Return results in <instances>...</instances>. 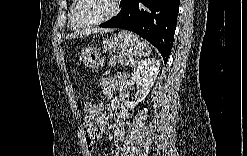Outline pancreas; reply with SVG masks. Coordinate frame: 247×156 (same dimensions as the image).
<instances>
[{"label": "pancreas", "instance_id": "obj_1", "mask_svg": "<svg viewBox=\"0 0 247 156\" xmlns=\"http://www.w3.org/2000/svg\"><path fill=\"white\" fill-rule=\"evenodd\" d=\"M133 62V58L124 53H117L109 60V65L116 66V65H128L129 63Z\"/></svg>", "mask_w": 247, "mask_h": 156}]
</instances>
